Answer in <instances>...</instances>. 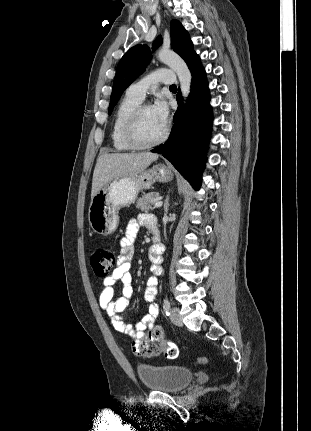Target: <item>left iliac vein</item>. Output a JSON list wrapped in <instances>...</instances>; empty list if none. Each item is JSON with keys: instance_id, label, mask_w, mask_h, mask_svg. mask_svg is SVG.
<instances>
[{"instance_id": "left-iliac-vein-1", "label": "left iliac vein", "mask_w": 311, "mask_h": 431, "mask_svg": "<svg viewBox=\"0 0 311 431\" xmlns=\"http://www.w3.org/2000/svg\"><path fill=\"white\" fill-rule=\"evenodd\" d=\"M170 320L176 326H183L182 318L177 307H173L170 311Z\"/></svg>"}]
</instances>
